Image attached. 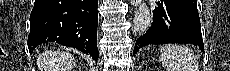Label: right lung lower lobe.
Returning <instances> with one entry per match:
<instances>
[{"mask_svg": "<svg viewBox=\"0 0 230 71\" xmlns=\"http://www.w3.org/2000/svg\"><path fill=\"white\" fill-rule=\"evenodd\" d=\"M98 0H35L30 15L28 48L58 43L98 59Z\"/></svg>", "mask_w": 230, "mask_h": 71, "instance_id": "1", "label": "right lung lower lobe"}]
</instances>
